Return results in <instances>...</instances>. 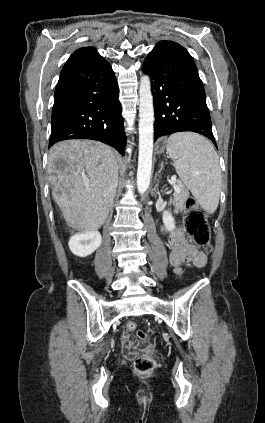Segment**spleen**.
<instances>
[{
	"label": "spleen",
	"instance_id": "spleen-1",
	"mask_svg": "<svg viewBox=\"0 0 265 423\" xmlns=\"http://www.w3.org/2000/svg\"><path fill=\"white\" fill-rule=\"evenodd\" d=\"M167 153L184 185L198 204L213 214L219 204L221 169L213 145L193 132H179L167 140Z\"/></svg>",
	"mask_w": 265,
	"mask_h": 423
}]
</instances>
